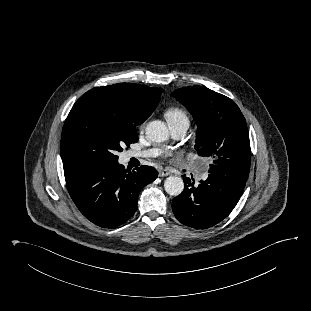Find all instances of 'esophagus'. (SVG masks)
<instances>
[{
	"mask_svg": "<svg viewBox=\"0 0 311 311\" xmlns=\"http://www.w3.org/2000/svg\"><path fill=\"white\" fill-rule=\"evenodd\" d=\"M168 175H170V171H168L167 169L159 170V176L160 177H165V176H168Z\"/></svg>",
	"mask_w": 311,
	"mask_h": 311,
	"instance_id": "34e87169",
	"label": "esophagus"
}]
</instances>
